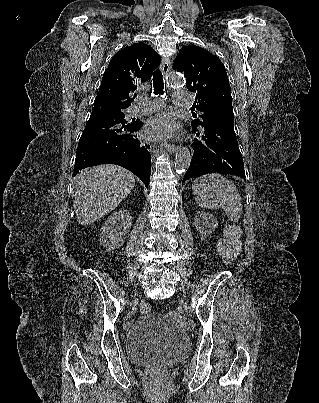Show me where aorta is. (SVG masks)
<instances>
[{
    "instance_id": "obj_1",
    "label": "aorta",
    "mask_w": 319,
    "mask_h": 403,
    "mask_svg": "<svg viewBox=\"0 0 319 403\" xmlns=\"http://www.w3.org/2000/svg\"><path fill=\"white\" fill-rule=\"evenodd\" d=\"M167 84L170 87H182L184 84L183 79L178 76L177 74H170L167 78ZM191 162V154L188 148L183 147L178 150L176 157H175V169L178 173L185 172Z\"/></svg>"
}]
</instances>
